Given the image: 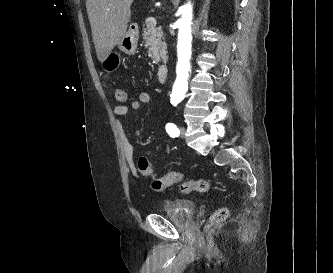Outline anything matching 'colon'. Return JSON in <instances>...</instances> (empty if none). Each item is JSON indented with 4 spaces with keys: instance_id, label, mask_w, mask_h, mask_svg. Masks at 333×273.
<instances>
[{
    "instance_id": "obj_1",
    "label": "colon",
    "mask_w": 333,
    "mask_h": 273,
    "mask_svg": "<svg viewBox=\"0 0 333 273\" xmlns=\"http://www.w3.org/2000/svg\"><path fill=\"white\" fill-rule=\"evenodd\" d=\"M114 99L117 102H125L127 100L126 92L121 88H116L114 90ZM137 169L138 171L146 176L152 177L153 176V169L147 160L146 157L141 156L137 161ZM180 183V190L183 193L189 194L193 192H205L209 189L210 183L208 180L200 178V179H185L184 175L180 172L174 171L169 172L163 177L154 178L153 179V188L155 190L161 191L173 184ZM228 215V211L225 208H220L217 210L213 216L210 218L208 227H213L219 221L226 218Z\"/></svg>"
}]
</instances>
